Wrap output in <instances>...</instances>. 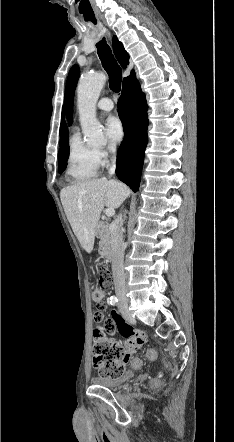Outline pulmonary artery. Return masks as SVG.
<instances>
[{"instance_id":"obj_1","label":"pulmonary artery","mask_w":234,"mask_h":442,"mask_svg":"<svg viewBox=\"0 0 234 442\" xmlns=\"http://www.w3.org/2000/svg\"><path fill=\"white\" fill-rule=\"evenodd\" d=\"M114 107V104L110 98H102L97 103V108L101 111H111Z\"/></svg>"}]
</instances>
